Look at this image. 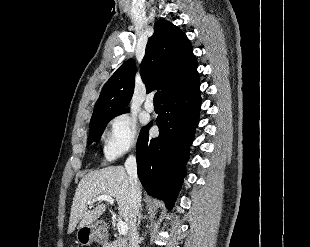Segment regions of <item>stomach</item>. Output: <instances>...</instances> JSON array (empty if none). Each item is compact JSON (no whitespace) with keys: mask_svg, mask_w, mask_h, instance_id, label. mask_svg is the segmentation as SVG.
<instances>
[{"mask_svg":"<svg viewBox=\"0 0 310 247\" xmlns=\"http://www.w3.org/2000/svg\"><path fill=\"white\" fill-rule=\"evenodd\" d=\"M104 231L105 225L100 221L81 226L76 233L77 242L82 246H89L92 242L99 241L103 237Z\"/></svg>","mask_w":310,"mask_h":247,"instance_id":"obj_1","label":"stomach"}]
</instances>
